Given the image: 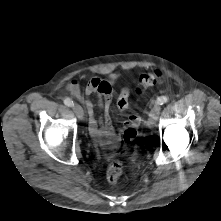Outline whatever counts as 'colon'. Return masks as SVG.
I'll list each match as a JSON object with an SVG mask.
<instances>
[{
  "label": "colon",
  "mask_w": 221,
  "mask_h": 221,
  "mask_svg": "<svg viewBox=\"0 0 221 221\" xmlns=\"http://www.w3.org/2000/svg\"><path fill=\"white\" fill-rule=\"evenodd\" d=\"M162 79H163L162 73L158 70L144 73L139 78V88L137 89V91L140 93L145 89L153 87L161 83ZM128 99H129V91L122 90L118 98V103H120L122 106L128 105ZM136 135H137L136 127L127 128L124 133L125 143L127 144L132 142L136 138ZM125 151L126 150H124L123 153H125ZM122 172H123V165L120 161L110 162L106 169L107 181L111 184L116 183L120 179Z\"/></svg>",
  "instance_id": "5ec220e1"
}]
</instances>
